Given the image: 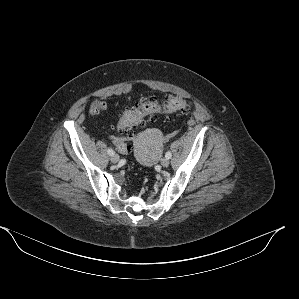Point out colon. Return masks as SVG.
Here are the masks:
<instances>
[{
	"mask_svg": "<svg viewBox=\"0 0 299 299\" xmlns=\"http://www.w3.org/2000/svg\"><path fill=\"white\" fill-rule=\"evenodd\" d=\"M104 104L100 100H94L89 106V112L92 115L101 113ZM191 109V103L181 97L167 96L161 99L144 98L141 99L136 108L127 110L118 121L117 128L121 134L132 138L135 129L144 122L148 116L158 113L172 114L176 112L186 113ZM117 149L124 154L128 153L130 147L125 142H118Z\"/></svg>",
	"mask_w": 299,
	"mask_h": 299,
	"instance_id": "colon-1",
	"label": "colon"
}]
</instances>
